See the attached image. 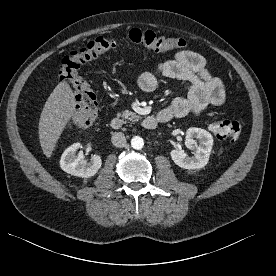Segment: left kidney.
<instances>
[{"instance_id":"1","label":"left kidney","mask_w":276,"mask_h":276,"mask_svg":"<svg viewBox=\"0 0 276 276\" xmlns=\"http://www.w3.org/2000/svg\"><path fill=\"white\" fill-rule=\"evenodd\" d=\"M185 145L194 155L188 156L183 150L173 149L170 152L173 162L184 169L203 168L209 161L213 146L212 135L204 129L191 127L186 131Z\"/></svg>"}]
</instances>
